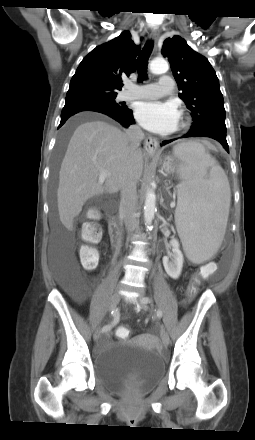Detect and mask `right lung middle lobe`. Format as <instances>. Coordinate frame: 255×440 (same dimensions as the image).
Segmentation results:
<instances>
[{"label": "right lung middle lobe", "instance_id": "obj_1", "mask_svg": "<svg viewBox=\"0 0 255 440\" xmlns=\"http://www.w3.org/2000/svg\"><path fill=\"white\" fill-rule=\"evenodd\" d=\"M116 95L117 94L94 93V94L88 95V97L86 99L98 100V101L106 102V103L113 105L115 107H119V105L115 102ZM66 137H67V131L64 132L62 135L61 142H60V148L65 143Z\"/></svg>", "mask_w": 255, "mask_h": 440}]
</instances>
